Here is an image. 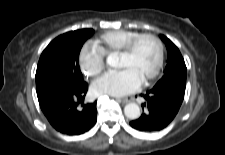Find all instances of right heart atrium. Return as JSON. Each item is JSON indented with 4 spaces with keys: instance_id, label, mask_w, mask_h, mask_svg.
I'll use <instances>...</instances> for the list:
<instances>
[{
    "instance_id": "right-heart-atrium-1",
    "label": "right heart atrium",
    "mask_w": 225,
    "mask_h": 155,
    "mask_svg": "<svg viewBox=\"0 0 225 155\" xmlns=\"http://www.w3.org/2000/svg\"><path fill=\"white\" fill-rule=\"evenodd\" d=\"M79 65L84 75L94 77L104 68V55L94 46L87 44L79 54Z\"/></svg>"
}]
</instances>
